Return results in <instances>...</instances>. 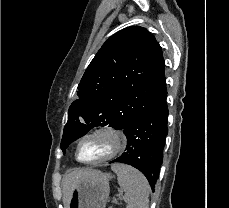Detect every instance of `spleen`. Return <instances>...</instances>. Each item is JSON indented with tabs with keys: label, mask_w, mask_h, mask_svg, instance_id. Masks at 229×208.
<instances>
[{
	"label": "spleen",
	"mask_w": 229,
	"mask_h": 208,
	"mask_svg": "<svg viewBox=\"0 0 229 208\" xmlns=\"http://www.w3.org/2000/svg\"><path fill=\"white\" fill-rule=\"evenodd\" d=\"M111 170L117 174L127 208H148L149 184L145 176L132 166H124V164H112Z\"/></svg>",
	"instance_id": "spleen-1"
}]
</instances>
